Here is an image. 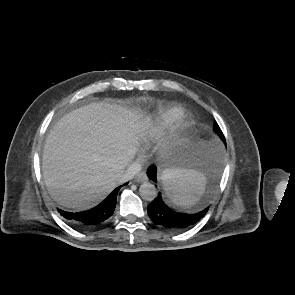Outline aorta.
I'll use <instances>...</instances> for the list:
<instances>
[{"mask_svg":"<svg viewBox=\"0 0 295 295\" xmlns=\"http://www.w3.org/2000/svg\"><path fill=\"white\" fill-rule=\"evenodd\" d=\"M139 193L142 199L152 201L157 197L156 187L150 182H144L139 188Z\"/></svg>","mask_w":295,"mask_h":295,"instance_id":"1","label":"aorta"}]
</instances>
